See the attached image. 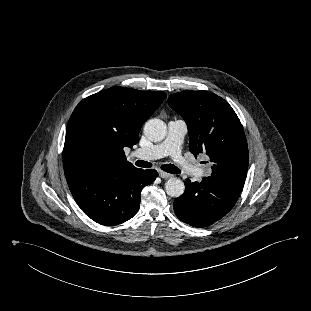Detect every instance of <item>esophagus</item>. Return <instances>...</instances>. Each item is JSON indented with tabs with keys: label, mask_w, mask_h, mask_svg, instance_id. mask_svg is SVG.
<instances>
[{
	"label": "esophagus",
	"mask_w": 311,
	"mask_h": 311,
	"mask_svg": "<svg viewBox=\"0 0 311 311\" xmlns=\"http://www.w3.org/2000/svg\"><path fill=\"white\" fill-rule=\"evenodd\" d=\"M159 176L163 179L171 178L173 175L164 171H159Z\"/></svg>",
	"instance_id": "esophagus-1"
}]
</instances>
